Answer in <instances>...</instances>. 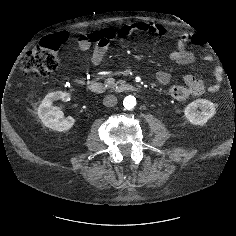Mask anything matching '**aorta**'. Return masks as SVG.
Returning a JSON list of instances; mask_svg holds the SVG:
<instances>
[{
    "label": "aorta",
    "instance_id": "1",
    "mask_svg": "<svg viewBox=\"0 0 236 236\" xmlns=\"http://www.w3.org/2000/svg\"><path fill=\"white\" fill-rule=\"evenodd\" d=\"M136 105V98L134 96H126L123 100V106L128 109L131 110L135 107Z\"/></svg>",
    "mask_w": 236,
    "mask_h": 236
}]
</instances>
